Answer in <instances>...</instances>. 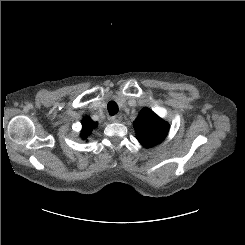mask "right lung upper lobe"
Wrapping results in <instances>:
<instances>
[{
    "label": "right lung upper lobe",
    "mask_w": 245,
    "mask_h": 245,
    "mask_svg": "<svg viewBox=\"0 0 245 245\" xmlns=\"http://www.w3.org/2000/svg\"><path fill=\"white\" fill-rule=\"evenodd\" d=\"M96 125L97 124L91 121L89 117H85L82 121V126H83L81 131L82 138L86 139L90 135L92 129L96 127Z\"/></svg>",
    "instance_id": "right-lung-upper-lobe-1"
}]
</instances>
